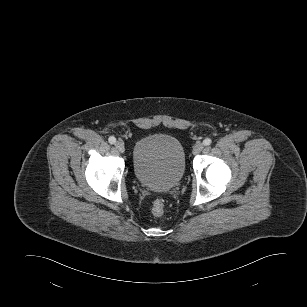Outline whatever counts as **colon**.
<instances>
[{"label":"colon","mask_w":307,"mask_h":307,"mask_svg":"<svg viewBox=\"0 0 307 307\" xmlns=\"http://www.w3.org/2000/svg\"><path fill=\"white\" fill-rule=\"evenodd\" d=\"M152 214L155 216H161L163 215L165 211V206L162 200L156 199L151 206Z\"/></svg>","instance_id":"5ec220e1"}]
</instances>
